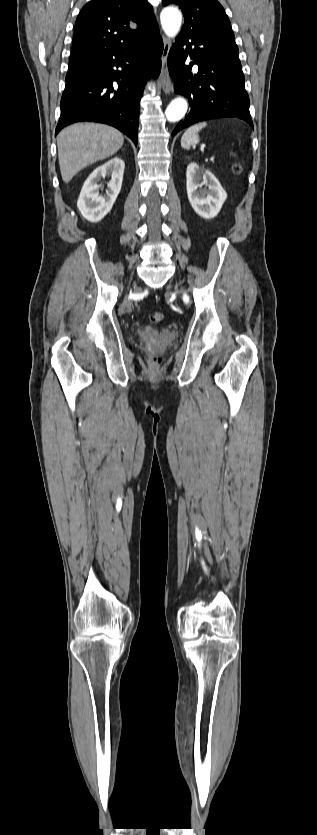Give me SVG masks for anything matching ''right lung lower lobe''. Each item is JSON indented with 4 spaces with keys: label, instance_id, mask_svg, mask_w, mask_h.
Here are the masks:
<instances>
[{
    "label": "right lung lower lobe",
    "instance_id": "obj_1",
    "mask_svg": "<svg viewBox=\"0 0 317 835\" xmlns=\"http://www.w3.org/2000/svg\"><path fill=\"white\" fill-rule=\"evenodd\" d=\"M162 52L156 28L118 51L72 53L55 134L75 122H100L119 129L137 145L140 99L148 77L161 68Z\"/></svg>",
    "mask_w": 317,
    "mask_h": 835
}]
</instances>
